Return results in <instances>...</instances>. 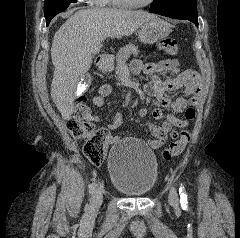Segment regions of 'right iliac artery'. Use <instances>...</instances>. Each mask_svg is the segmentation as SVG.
I'll list each match as a JSON object with an SVG mask.
<instances>
[{
    "mask_svg": "<svg viewBox=\"0 0 240 238\" xmlns=\"http://www.w3.org/2000/svg\"><path fill=\"white\" fill-rule=\"evenodd\" d=\"M95 187H96V184L95 182H92L90 185H89V194H92L95 190Z\"/></svg>",
    "mask_w": 240,
    "mask_h": 238,
    "instance_id": "right-iliac-artery-1",
    "label": "right iliac artery"
}]
</instances>
